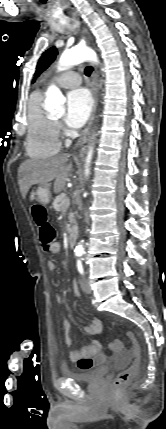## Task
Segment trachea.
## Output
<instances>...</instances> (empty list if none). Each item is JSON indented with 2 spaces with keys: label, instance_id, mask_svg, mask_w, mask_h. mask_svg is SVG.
Segmentation results:
<instances>
[{
  "label": "trachea",
  "instance_id": "trachea-1",
  "mask_svg": "<svg viewBox=\"0 0 166 429\" xmlns=\"http://www.w3.org/2000/svg\"><path fill=\"white\" fill-rule=\"evenodd\" d=\"M92 71H93V68L91 66L86 67L85 68V75L90 76Z\"/></svg>",
  "mask_w": 166,
  "mask_h": 429
}]
</instances>
